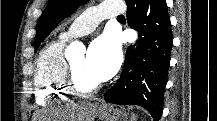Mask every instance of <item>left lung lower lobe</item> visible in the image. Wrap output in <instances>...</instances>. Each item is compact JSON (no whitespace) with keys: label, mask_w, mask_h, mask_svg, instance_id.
<instances>
[{"label":"left lung lower lobe","mask_w":217,"mask_h":121,"mask_svg":"<svg viewBox=\"0 0 217 121\" xmlns=\"http://www.w3.org/2000/svg\"><path fill=\"white\" fill-rule=\"evenodd\" d=\"M129 26L139 34L127 48L117 83L104 99L113 104L139 105L158 121L163 111L173 36L166 0H126Z\"/></svg>","instance_id":"left-lung-lower-lobe-1"}]
</instances>
